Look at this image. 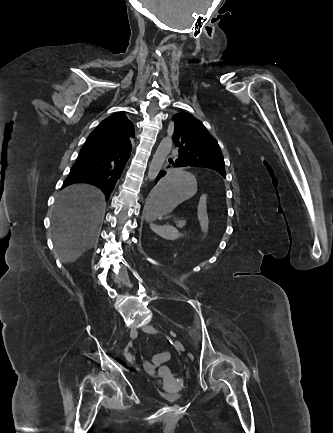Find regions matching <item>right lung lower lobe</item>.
<instances>
[{"instance_id": "98d812e1", "label": "right lung lower lobe", "mask_w": 333, "mask_h": 433, "mask_svg": "<svg viewBox=\"0 0 333 433\" xmlns=\"http://www.w3.org/2000/svg\"><path fill=\"white\" fill-rule=\"evenodd\" d=\"M130 151L131 146L98 151L94 141L86 140L63 187L73 183H89L101 188L108 200L128 161Z\"/></svg>"}]
</instances>
